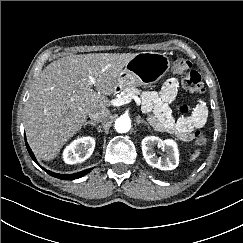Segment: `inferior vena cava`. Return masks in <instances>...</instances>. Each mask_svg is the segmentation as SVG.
Masks as SVG:
<instances>
[{"label":"inferior vena cava","mask_w":243,"mask_h":243,"mask_svg":"<svg viewBox=\"0 0 243 243\" xmlns=\"http://www.w3.org/2000/svg\"><path fill=\"white\" fill-rule=\"evenodd\" d=\"M109 110L107 108L95 109L89 112V117L94 122H102L107 119Z\"/></svg>","instance_id":"inferior-vena-cava-1"}]
</instances>
